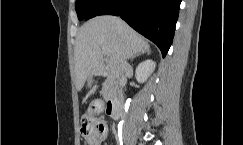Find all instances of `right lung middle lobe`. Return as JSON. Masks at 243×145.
I'll return each instance as SVG.
<instances>
[{"label":"right lung middle lobe","mask_w":243,"mask_h":145,"mask_svg":"<svg viewBox=\"0 0 243 145\" xmlns=\"http://www.w3.org/2000/svg\"><path fill=\"white\" fill-rule=\"evenodd\" d=\"M101 0H76V12L79 20L85 18L88 12L95 7Z\"/></svg>","instance_id":"right-lung-middle-lobe-1"}]
</instances>
